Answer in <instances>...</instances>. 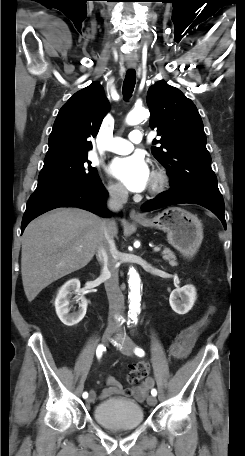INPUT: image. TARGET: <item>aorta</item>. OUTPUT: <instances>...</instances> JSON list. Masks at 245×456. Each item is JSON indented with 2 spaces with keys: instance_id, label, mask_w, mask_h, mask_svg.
<instances>
[{
  "instance_id": "aorta-1",
  "label": "aorta",
  "mask_w": 245,
  "mask_h": 456,
  "mask_svg": "<svg viewBox=\"0 0 245 456\" xmlns=\"http://www.w3.org/2000/svg\"><path fill=\"white\" fill-rule=\"evenodd\" d=\"M149 116V111L145 108H135L126 117V123L128 125H136L142 122ZM129 288L130 292L128 295L129 299V316H133L140 312V277L134 268L129 269Z\"/></svg>"
}]
</instances>
